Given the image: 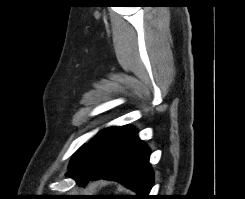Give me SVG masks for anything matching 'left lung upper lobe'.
I'll return each instance as SVG.
<instances>
[{
    "label": "left lung upper lobe",
    "mask_w": 245,
    "mask_h": 199,
    "mask_svg": "<svg viewBox=\"0 0 245 199\" xmlns=\"http://www.w3.org/2000/svg\"><path fill=\"white\" fill-rule=\"evenodd\" d=\"M86 145H87V144H84L83 146H81V147L75 152V154H74V156H73V158H72V160H71L69 166H71V165L74 163V161L79 157V155L82 153V151L84 150V148H85Z\"/></svg>",
    "instance_id": "1"
}]
</instances>
